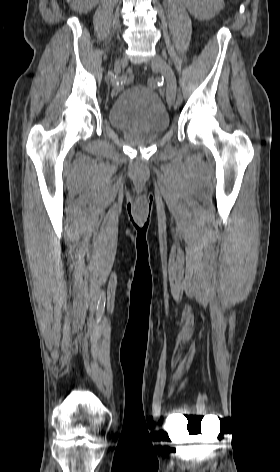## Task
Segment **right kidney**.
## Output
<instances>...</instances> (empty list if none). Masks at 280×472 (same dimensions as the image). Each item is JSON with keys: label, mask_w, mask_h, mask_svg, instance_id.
I'll return each instance as SVG.
<instances>
[{"label": "right kidney", "mask_w": 280, "mask_h": 472, "mask_svg": "<svg viewBox=\"0 0 280 472\" xmlns=\"http://www.w3.org/2000/svg\"><path fill=\"white\" fill-rule=\"evenodd\" d=\"M77 7L83 12L91 11L99 2V0H76Z\"/></svg>", "instance_id": "obj_1"}]
</instances>
